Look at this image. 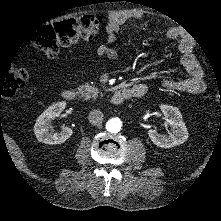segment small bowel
Segmentation results:
<instances>
[{"label": "small bowel", "instance_id": "obj_1", "mask_svg": "<svg viewBox=\"0 0 221 221\" xmlns=\"http://www.w3.org/2000/svg\"><path fill=\"white\" fill-rule=\"evenodd\" d=\"M142 16L143 14L141 12L133 10L111 13L106 26L105 42L97 47V55L116 60L119 57V53L111 45L117 40L121 26L130 19H140ZM167 36L170 39H177L178 33L174 29H171L167 32ZM192 48L193 43L191 39L184 38L180 41L179 51L182 55L181 64L188 72L189 77L185 79H166L162 83L165 89L191 94H201L205 91L206 85L203 80L204 72L192 54Z\"/></svg>", "mask_w": 221, "mask_h": 221}]
</instances>
